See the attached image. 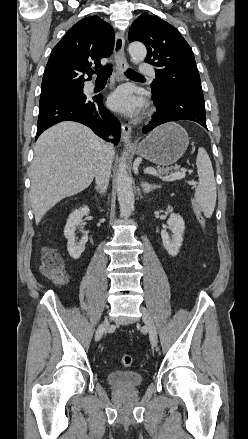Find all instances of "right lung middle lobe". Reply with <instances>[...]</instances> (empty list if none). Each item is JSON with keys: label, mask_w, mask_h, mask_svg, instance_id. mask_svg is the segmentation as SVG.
I'll use <instances>...</instances> for the list:
<instances>
[{"label": "right lung middle lobe", "mask_w": 248, "mask_h": 439, "mask_svg": "<svg viewBox=\"0 0 248 439\" xmlns=\"http://www.w3.org/2000/svg\"><path fill=\"white\" fill-rule=\"evenodd\" d=\"M77 95H84L83 88H78L75 90L66 91L63 93L53 94V95H47V96H41L39 107L46 106L48 104H51L53 102L66 99L69 97L77 96Z\"/></svg>", "instance_id": "right-lung-middle-lobe-1"}]
</instances>
